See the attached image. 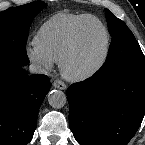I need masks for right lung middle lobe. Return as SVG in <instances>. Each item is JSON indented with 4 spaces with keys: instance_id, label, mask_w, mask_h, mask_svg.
I'll list each match as a JSON object with an SVG mask.
<instances>
[{
    "instance_id": "1",
    "label": "right lung middle lobe",
    "mask_w": 145,
    "mask_h": 145,
    "mask_svg": "<svg viewBox=\"0 0 145 145\" xmlns=\"http://www.w3.org/2000/svg\"><path fill=\"white\" fill-rule=\"evenodd\" d=\"M46 6L44 2L37 1L0 12V70L29 63L26 54L29 27Z\"/></svg>"
}]
</instances>
